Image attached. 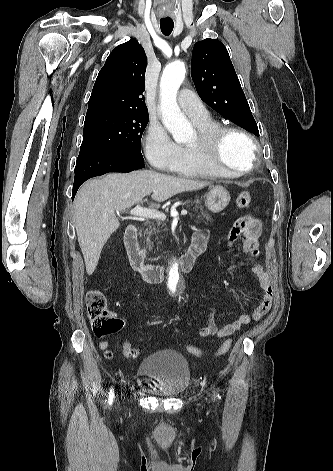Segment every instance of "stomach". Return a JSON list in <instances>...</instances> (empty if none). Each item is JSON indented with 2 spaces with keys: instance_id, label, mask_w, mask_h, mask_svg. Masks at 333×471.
Masks as SVG:
<instances>
[{
  "instance_id": "stomach-1",
  "label": "stomach",
  "mask_w": 333,
  "mask_h": 471,
  "mask_svg": "<svg viewBox=\"0 0 333 471\" xmlns=\"http://www.w3.org/2000/svg\"><path fill=\"white\" fill-rule=\"evenodd\" d=\"M230 201V194L222 186H214L206 195L205 206L213 213L224 210Z\"/></svg>"
}]
</instances>
